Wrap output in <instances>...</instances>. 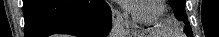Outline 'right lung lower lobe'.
Instances as JSON below:
<instances>
[{
    "label": "right lung lower lobe",
    "instance_id": "1",
    "mask_svg": "<svg viewBox=\"0 0 219 37\" xmlns=\"http://www.w3.org/2000/svg\"><path fill=\"white\" fill-rule=\"evenodd\" d=\"M25 37H106L111 10L103 0H23Z\"/></svg>",
    "mask_w": 219,
    "mask_h": 37
}]
</instances>
